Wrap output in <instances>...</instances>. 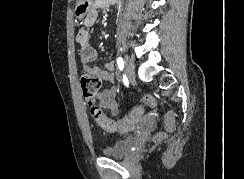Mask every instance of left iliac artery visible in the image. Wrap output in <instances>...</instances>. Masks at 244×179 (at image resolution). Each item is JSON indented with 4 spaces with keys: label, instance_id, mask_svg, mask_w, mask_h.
I'll use <instances>...</instances> for the list:
<instances>
[{
    "label": "left iliac artery",
    "instance_id": "obj_1",
    "mask_svg": "<svg viewBox=\"0 0 244 179\" xmlns=\"http://www.w3.org/2000/svg\"><path fill=\"white\" fill-rule=\"evenodd\" d=\"M117 65H118V67H119L120 70L123 69V67H124V61H123V59L121 57H118L117 58Z\"/></svg>",
    "mask_w": 244,
    "mask_h": 179
}]
</instances>
